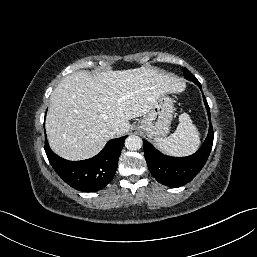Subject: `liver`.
Returning a JSON list of instances; mask_svg holds the SVG:
<instances>
[{
    "instance_id": "obj_1",
    "label": "liver",
    "mask_w": 257,
    "mask_h": 257,
    "mask_svg": "<svg viewBox=\"0 0 257 257\" xmlns=\"http://www.w3.org/2000/svg\"><path fill=\"white\" fill-rule=\"evenodd\" d=\"M184 82L150 67L89 74L74 72L53 90L46 117L51 149L67 160H83L101 151L113 136L130 129L129 120L147 114L156 99L179 92Z\"/></svg>"
}]
</instances>
